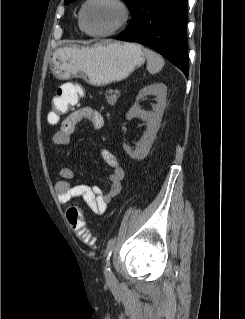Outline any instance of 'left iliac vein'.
I'll use <instances>...</instances> for the list:
<instances>
[{
    "label": "left iliac vein",
    "instance_id": "4c4485c4",
    "mask_svg": "<svg viewBox=\"0 0 245 319\" xmlns=\"http://www.w3.org/2000/svg\"><path fill=\"white\" fill-rule=\"evenodd\" d=\"M111 266V263L108 262V267ZM114 280V276L112 274V272H108V281H113Z\"/></svg>",
    "mask_w": 245,
    "mask_h": 319
}]
</instances>
